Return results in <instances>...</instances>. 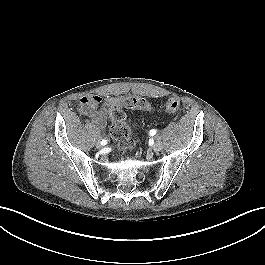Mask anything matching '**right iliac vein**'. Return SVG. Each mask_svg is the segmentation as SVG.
<instances>
[{"label": "right iliac vein", "instance_id": "1", "mask_svg": "<svg viewBox=\"0 0 265 265\" xmlns=\"http://www.w3.org/2000/svg\"><path fill=\"white\" fill-rule=\"evenodd\" d=\"M96 147H97V148H101V147H102V144L99 143V142H97V143H96Z\"/></svg>", "mask_w": 265, "mask_h": 265}]
</instances>
